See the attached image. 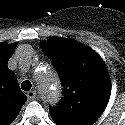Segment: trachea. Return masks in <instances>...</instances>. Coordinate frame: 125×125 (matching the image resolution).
I'll return each instance as SVG.
<instances>
[{"instance_id":"1","label":"trachea","mask_w":125,"mask_h":125,"mask_svg":"<svg viewBox=\"0 0 125 125\" xmlns=\"http://www.w3.org/2000/svg\"><path fill=\"white\" fill-rule=\"evenodd\" d=\"M31 87H32V84H31V82L29 80H25L21 84V88L24 91H29L31 89Z\"/></svg>"}]
</instances>
